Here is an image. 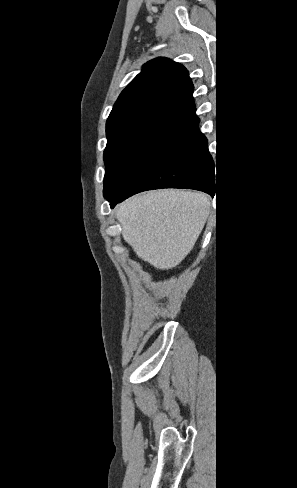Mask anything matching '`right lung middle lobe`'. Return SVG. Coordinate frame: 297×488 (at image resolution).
Segmentation results:
<instances>
[{
  "mask_svg": "<svg viewBox=\"0 0 297 488\" xmlns=\"http://www.w3.org/2000/svg\"><path fill=\"white\" fill-rule=\"evenodd\" d=\"M173 133L155 129L133 130L108 139L104 151V197L110 201L123 194Z\"/></svg>",
  "mask_w": 297,
  "mask_h": 488,
  "instance_id": "1",
  "label": "right lung middle lobe"
}]
</instances>
